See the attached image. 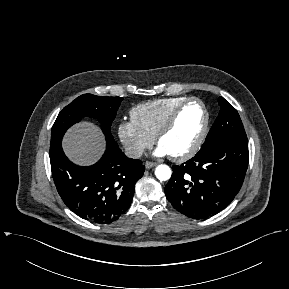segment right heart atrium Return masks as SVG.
<instances>
[{
    "mask_svg": "<svg viewBox=\"0 0 289 289\" xmlns=\"http://www.w3.org/2000/svg\"><path fill=\"white\" fill-rule=\"evenodd\" d=\"M118 136L126 152L134 158L140 157L154 142V138L142 130L133 120L122 121L119 124Z\"/></svg>",
    "mask_w": 289,
    "mask_h": 289,
    "instance_id": "right-heart-atrium-1",
    "label": "right heart atrium"
}]
</instances>
